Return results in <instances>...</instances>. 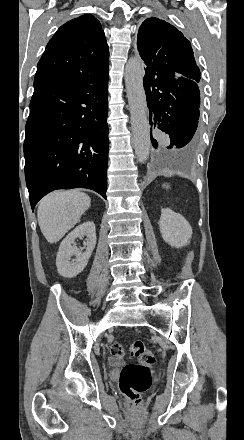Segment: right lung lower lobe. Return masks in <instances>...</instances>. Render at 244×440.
I'll list each match as a JSON object with an SVG mask.
<instances>
[{
  "label": "right lung lower lobe",
  "instance_id": "1",
  "mask_svg": "<svg viewBox=\"0 0 244 440\" xmlns=\"http://www.w3.org/2000/svg\"><path fill=\"white\" fill-rule=\"evenodd\" d=\"M108 70L34 88L24 141L32 210L56 189L88 188L106 199Z\"/></svg>",
  "mask_w": 244,
  "mask_h": 440
}]
</instances>
